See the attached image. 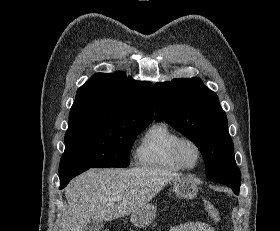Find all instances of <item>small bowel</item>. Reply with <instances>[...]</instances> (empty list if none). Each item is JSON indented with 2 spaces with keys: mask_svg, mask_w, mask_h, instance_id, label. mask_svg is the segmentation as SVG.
Wrapping results in <instances>:
<instances>
[{
  "mask_svg": "<svg viewBox=\"0 0 280 231\" xmlns=\"http://www.w3.org/2000/svg\"><path fill=\"white\" fill-rule=\"evenodd\" d=\"M170 231H215V228L203 221H187L172 226Z\"/></svg>",
  "mask_w": 280,
  "mask_h": 231,
  "instance_id": "obj_1",
  "label": "small bowel"
}]
</instances>
